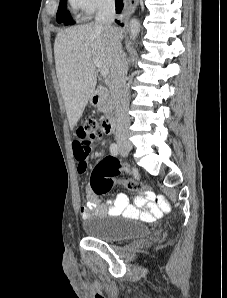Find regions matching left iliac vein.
Wrapping results in <instances>:
<instances>
[{
  "instance_id": "obj_1",
  "label": "left iliac vein",
  "mask_w": 227,
  "mask_h": 298,
  "mask_svg": "<svg viewBox=\"0 0 227 298\" xmlns=\"http://www.w3.org/2000/svg\"><path fill=\"white\" fill-rule=\"evenodd\" d=\"M120 155H121L122 157H126V156L128 155V152H127L126 150H124V149H121V150H120Z\"/></svg>"
}]
</instances>
